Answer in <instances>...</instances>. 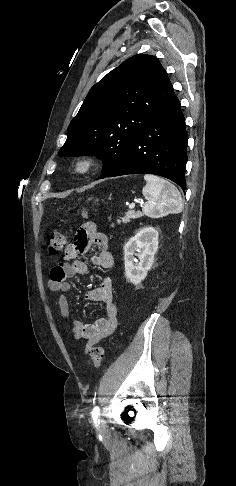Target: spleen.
Returning a JSON list of instances; mask_svg holds the SVG:
<instances>
[{"instance_id": "1", "label": "spleen", "mask_w": 236, "mask_h": 486, "mask_svg": "<svg viewBox=\"0 0 236 486\" xmlns=\"http://www.w3.org/2000/svg\"><path fill=\"white\" fill-rule=\"evenodd\" d=\"M144 179L146 185L142 189V194L147 202L142 211L145 215L161 217L182 212V197L173 184L152 174L144 175Z\"/></svg>"}]
</instances>
